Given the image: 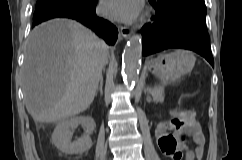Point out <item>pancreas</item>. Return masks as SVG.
Listing matches in <instances>:
<instances>
[{
	"instance_id": "obj_1",
	"label": "pancreas",
	"mask_w": 242,
	"mask_h": 160,
	"mask_svg": "<svg viewBox=\"0 0 242 160\" xmlns=\"http://www.w3.org/2000/svg\"><path fill=\"white\" fill-rule=\"evenodd\" d=\"M154 99L162 100L163 99V90L161 87H154L151 92Z\"/></svg>"
}]
</instances>
